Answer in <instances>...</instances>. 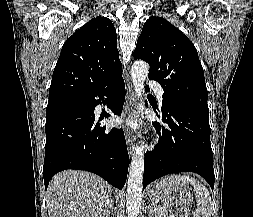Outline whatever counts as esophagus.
<instances>
[{
  "label": "esophagus",
  "instance_id": "obj_1",
  "mask_svg": "<svg viewBox=\"0 0 253 217\" xmlns=\"http://www.w3.org/2000/svg\"><path fill=\"white\" fill-rule=\"evenodd\" d=\"M135 101H136V95H135L132 85H130L128 94H127L126 104L123 111V117L130 118L132 117V114H135V110H134ZM126 140H127L129 154L132 155L135 148V145H134L135 138L131 134V132L128 130L126 131Z\"/></svg>",
  "mask_w": 253,
  "mask_h": 217
}]
</instances>
